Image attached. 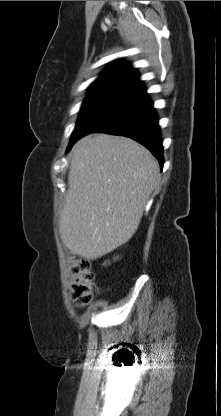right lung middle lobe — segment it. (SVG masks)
<instances>
[{"label": "right lung middle lobe", "instance_id": "dd1d6c3e", "mask_svg": "<svg viewBox=\"0 0 221 416\" xmlns=\"http://www.w3.org/2000/svg\"><path fill=\"white\" fill-rule=\"evenodd\" d=\"M124 99L119 95L88 96L83 102L70 144L94 130Z\"/></svg>", "mask_w": 221, "mask_h": 416}]
</instances>
